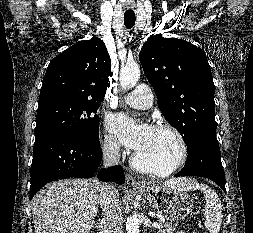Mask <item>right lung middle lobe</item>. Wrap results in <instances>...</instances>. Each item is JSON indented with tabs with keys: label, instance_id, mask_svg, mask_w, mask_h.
<instances>
[{
	"label": "right lung middle lobe",
	"instance_id": "obj_1",
	"mask_svg": "<svg viewBox=\"0 0 253 233\" xmlns=\"http://www.w3.org/2000/svg\"><path fill=\"white\" fill-rule=\"evenodd\" d=\"M98 103L93 100L53 98L39 103L35 136L63 133L87 142L99 136Z\"/></svg>",
	"mask_w": 253,
	"mask_h": 233
}]
</instances>
